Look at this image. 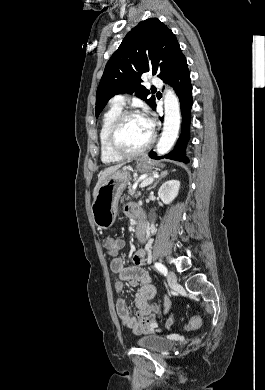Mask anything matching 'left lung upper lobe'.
I'll return each mask as SVG.
<instances>
[{
  "instance_id": "5c2ea615",
  "label": "left lung upper lobe",
  "mask_w": 265,
  "mask_h": 390,
  "mask_svg": "<svg viewBox=\"0 0 265 390\" xmlns=\"http://www.w3.org/2000/svg\"><path fill=\"white\" fill-rule=\"evenodd\" d=\"M182 53L173 32L157 18L141 21L127 33L106 64L97 89L96 117L116 94L135 92L154 109L155 97L140 83L144 72L152 71L165 79Z\"/></svg>"
}]
</instances>
